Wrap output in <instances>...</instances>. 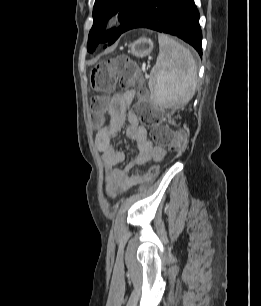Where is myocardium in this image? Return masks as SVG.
I'll return each mask as SVG.
<instances>
[{
	"label": "myocardium",
	"instance_id": "1",
	"mask_svg": "<svg viewBox=\"0 0 261 306\" xmlns=\"http://www.w3.org/2000/svg\"><path fill=\"white\" fill-rule=\"evenodd\" d=\"M119 21L115 18H110L106 23L104 29L106 31L113 30L118 27Z\"/></svg>",
	"mask_w": 261,
	"mask_h": 306
}]
</instances>
